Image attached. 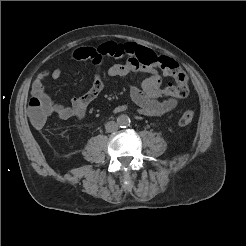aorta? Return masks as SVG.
Masks as SVG:
<instances>
[{"label":"aorta","instance_id":"1","mask_svg":"<svg viewBox=\"0 0 246 246\" xmlns=\"http://www.w3.org/2000/svg\"><path fill=\"white\" fill-rule=\"evenodd\" d=\"M117 123L121 127H126L130 124V118L127 115H120L117 118Z\"/></svg>","mask_w":246,"mask_h":246}]
</instances>
